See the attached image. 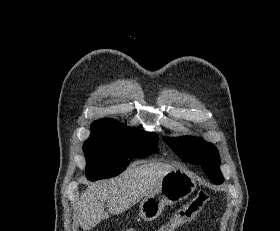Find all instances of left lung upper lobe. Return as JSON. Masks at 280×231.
I'll list each match as a JSON object with an SVG mask.
<instances>
[{"label":"left lung upper lobe","instance_id":"left-lung-upper-lobe-1","mask_svg":"<svg viewBox=\"0 0 280 231\" xmlns=\"http://www.w3.org/2000/svg\"><path fill=\"white\" fill-rule=\"evenodd\" d=\"M163 140L182 160L189 161L193 164H200L204 172L215 184L223 183L224 178L219 169V152L213 144L193 137H181L177 139L163 137Z\"/></svg>","mask_w":280,"mask_h":231}]
</instances>
